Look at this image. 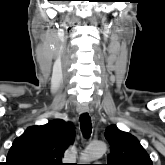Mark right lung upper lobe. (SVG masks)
Wrapping results in <instances>:
<instances>
[{"label": "right lung upper lobe", "mask_w": 165, "mask_h": 165, "mask_svg": "<svg viewBox=\"0 0 165 165\" xmlns=\"http://www.w3.org/2000/svg\"><path fill=\"white\" fill-rule=\"evenodd\" d=\"M74 141L73 126L57 119L41 126H31L16 138L6 158V165H63L62 157Z\"/></svg>", "instance_id": "obj_1"}]
</instances>
